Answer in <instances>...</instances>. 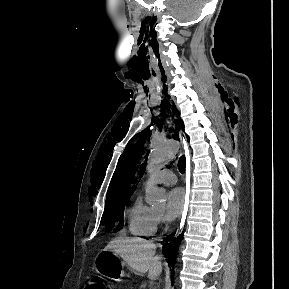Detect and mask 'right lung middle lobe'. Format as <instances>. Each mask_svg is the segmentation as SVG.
Instances as JSON below:
<instances>
[{
    "mask_svg": "<svg viewBox=\"0 0 289 289\" xmlns=\"http://www.w3.org/2000/svg\"><path fill=\"white\" fill-rule=\"evenodd\" d=\"M111 215H107L106 212H104L103 214V217H102V220H101V223H105L108 227H111L114 225L116 219L113 218V217H110ZM120 224L118 226V228L115 230V231H119L122 227H123V224H124V221L122 218H120Z\"/></svg>",
    "mask_w": 289,
    "mask_h": 289,
    "instance_id": "obj_1",
    "label": "right lung middle lobe"
}]
</instances>
